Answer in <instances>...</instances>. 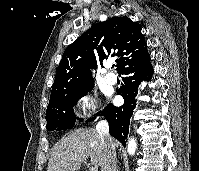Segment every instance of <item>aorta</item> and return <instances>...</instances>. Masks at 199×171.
Listing matches in <instances>:
<instances>
[{
    "label": "aorta",
    "mask_w": 199,
    "mask_h": 171,
    "mask_svg": "<svg viewBox=\"0 0 199 171\" xmlns=\"http://www.w3.org/2000/svg\"><path fill=\"white\" fill-rule=\"evenodd\" d=\"M137 149V143L134 138L129 139L127 144V151L130 155H133Z\"/></svg>",
    "instance_id": "obj_1"
}]
</instances>
